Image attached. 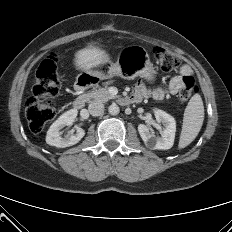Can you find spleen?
<instances>
[{
  "instance_id": "3e777b00",
  "label": "spleen",
  "mask_w": 232,
  "mask_h": 232,
  "mask_svg": "<svg viewBox=\"0 0 232 232\" xmlns=\"http://www.w3.org/2000/svg\"><path fill=\"white\" fill-rule=\"evenodd\" d=\"M204 120V106L199 94L192 96L184 112L178 148L188 146L197 137Z\"/></svg>"
}]
</instances>
